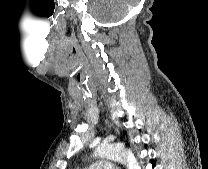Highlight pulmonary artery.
Returning <instances> with one entry per match:
<instances>
[{
	"label": "pulmonary artery",
	"instance_id": "obj_1",
	"mask_svg": "<svg viewBox=\"0 0 208 169\" xmlns=\"http://www.w3.org/2000/svg\"><path fill=\"white\" fill-rule=\"evenodd\" d=\"M115 165L109 159H100L85 169H115Z\"/></svg>",
	"mask_w": 208,
	"mask_h": 169
}]
</instances>
